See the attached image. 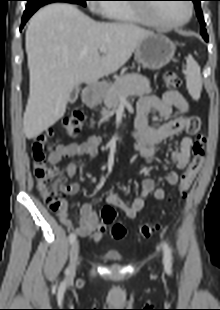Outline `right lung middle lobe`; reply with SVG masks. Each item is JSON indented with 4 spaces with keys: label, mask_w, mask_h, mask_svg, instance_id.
<instances>
[{
    "label": "right lung middle lobe",
    "mask_w": 220,
    "mask_h": 310,
    "mask_svg": "<svg viewBox=\"0 0 220 310\" xmlns=\"http://www.w3.org/2000/svg\"><path fill=\"white\" fill-rule=\"evenodd\" d=\"M57 1H63V2H69V3H76L85 6L87 0H27V6L28 9L33 8H40L43 5H46L48 3L57 2Z\"/></svg>",
    "instance_id": "right-lung-middle-lobe-1"
}]
</instances>
